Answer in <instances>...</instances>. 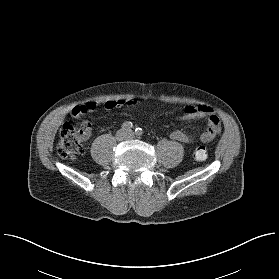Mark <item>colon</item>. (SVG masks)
<instances>
[{
  "label": "colon",
  "instance_id": "colon-1",
  "mask_svg": "<svg viewBox=\"0 0 279 279\" xmlns=\"http://www.w3.org/2000/svg\"><path fill=\"white\" fill-rule=\"evenodd\" d=\"M213 116H216L215 114ZM91 125L88 121L64 123L59 132V142L57 150L64 158L78 159L84 154L83 142L90 133ZM221 132L219 124H211L209 132L204 137V142L210 141ZM194 157L198 161L207 158V150L204 146H198L194 151Z\"/></svg>",
  "mask_w": 279,
  "mask_h": 279
}]
</instances>
